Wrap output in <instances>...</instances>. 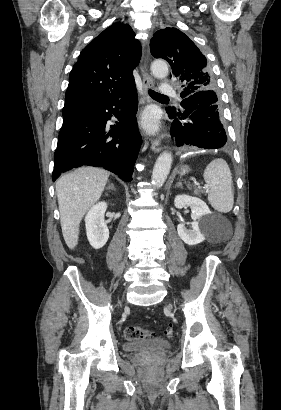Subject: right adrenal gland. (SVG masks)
<instances>
[{"label": "right adrenal gland", "instance_id": "obj_1", "mask_svg": "<svg viewBox=\"0 0 281 410\" xmlns=\"http://www.w3.org/2000/svg\"><path fill=\"white\" fill-rule=\"evenodd\" d=\"M107 190H116V189H115V187H114L113 184H110V185L107 187Z\"/></svg>", "mask_w": 281, "mask_h": 410}]
</instances>
